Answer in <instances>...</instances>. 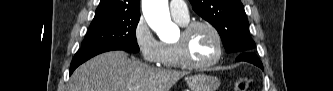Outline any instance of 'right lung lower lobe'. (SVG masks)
Segmentation results:
<instances>
[{"instance_id": "right-lung-lower-lobe-1", "label": "right lung lower lobe", "mask_w": 333, "mask_h": 91, "mask_svg": "<svg viewBox=\"0 0 333 91\" xmlns=\"http://www.w3.org/2000/svg\"><path fill=\"white\" fill-rule=\"evenodd\" d=\"M112 50H121V49H116V48H99V49H90V50H83L80 49L74 56L71 67H70V72L69 75L73 73V71L83 62L87 61L88 59L103 53L107 51H112Z\"/></svg>"}]
</instances>
